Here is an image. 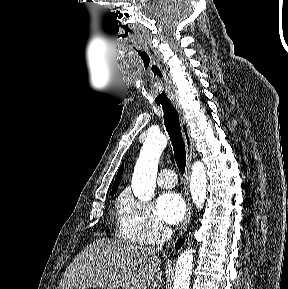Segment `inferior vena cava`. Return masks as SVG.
Here are the masks:
<instances>
[{"instance_id":"1","label":"inferior vena cava","mask_w":288,"mask_h":289,"mask_svg":"<svg viewBox=\"0 0 288 289\" xmlns=\"http://www.w3.org/2000/svg\"><path fill=\"white\" fill-rule=\"evenodd\" d=\"M172 236V229L168 226H163L160 230V235L158 237L156 251H161L163 249L164 243L168 241Z\"/></svg>"}]
</instances>
